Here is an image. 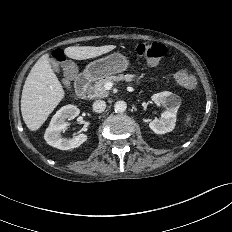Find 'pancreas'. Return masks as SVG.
Wrapping results in <instances>:
<instances>
[{
    "label": "pancreas",
    "mask_w": 232,
    "mask_h": 232,
    "mask_svg": "<svg viewBox=\"0 0 232 232\" xmlns=\"http://www.w3.org/2000/svg\"><path fill=\"white\" fill-rule=\"evenodd\" d=\"M135 75L133 74H120L118 76H106L99 81H96L94 85L89 87L88 90V97L89 98H104L108 96V91L105 89V84L107 82H114V81H126L130 82L134 79Z\"/></svg>",
    "instance_id": "pancreas-1"
}]
</instances>
